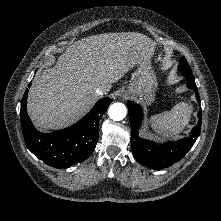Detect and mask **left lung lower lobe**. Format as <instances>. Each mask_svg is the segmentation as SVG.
I'll return each instance as SVG.
<instances>
[{"instance_id":"1","label":"left lung lower lobe","mask_w":221,"mask_h":221,"mask_svg":"<svg viewBox=\"0 0 221 221\" xmlns=\"http://www.w3.org/2000/svg\"><path fill=\"white\" fill-rule=\"evenodd\" d=\"M183 74L187 79V87L195 91L197 101L200 103L198 88L195 84L192 72L183 71ZM127 106L131 126V147L133 155L138 162L151 169H163L180 161L192 148L200 134L202 122L201 109L198 112L199 121L192 129L189 137L176 142H166L161 145L155 144L152 141L142 139L138 136L143 116L140 106L131 101L127 102Z\"/></svg>"}]
</instances>
